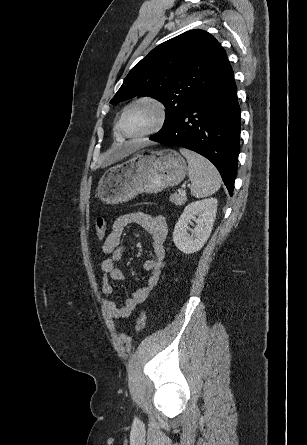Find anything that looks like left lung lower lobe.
<instances>
[{
	"label": "left lung lower lobe",
	"instance_id": "0a47b994",
	"mask_svg": "<svg viewBox=\"0 0 307 445\" xmlns=\"http://www.w3.org/2000/svg\"><path fill=\"white\" fill-rule=\"evenodd\" d=\"M240 116L231 68L168 129L149 139L184 147L209 159L232 196L239 154Z\"/></svg>",
	"mask_w": 307,
	"mask_h": 445
}]
</instances>
